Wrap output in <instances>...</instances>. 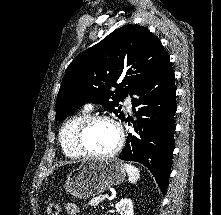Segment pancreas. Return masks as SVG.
<instances>
[{
    "mask_svg": "<svg viewBox=\"0 0 221 215\" xmlns=\"http://www.w3.org/2000/svg\"><path fill=\"white\" fill-rule=\"evenodd\" d=\"M103 201H104V199L102 198V196H97V197L93 198L91 201H89L88 205L95 207Z\"/></svg>",
    "mask_w": 221,
    "mask_h": 215,
    "instance_id": "pancreas-1",
    "label": "pancreas"
}]
</instances>
